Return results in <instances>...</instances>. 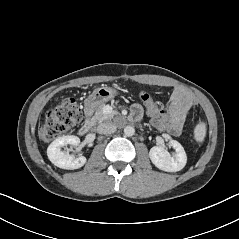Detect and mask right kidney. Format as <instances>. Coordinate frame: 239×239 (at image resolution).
<instances>
[{
  "label": "right kidney",
  "instance_id": "right-kidney-1",
  "mask_svg": "<svg viewBox=\"0 0 239 239\" xmlns=\"http://www.w3.org/2000/svg\"><path fill=\"white\" fill-rule=\"evenodd\" d=\"M80 143V139L74 135L62 136L55 139L47 149V155L49 160L57 167L62 169L74 170L82 167L86 163V158L84 156H79L74 158L69 154V148L67 151H63L62 148L67 147V145L77 146Z\"/></svg>",
  "mask_w": 239,
  "mask_h": 239
}]
</instances>
